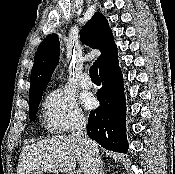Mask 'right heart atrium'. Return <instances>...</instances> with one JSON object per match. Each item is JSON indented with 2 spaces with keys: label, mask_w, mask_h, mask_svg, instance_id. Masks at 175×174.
Instances as JSON below:
<instances>
[{
  "label": "right heart atrium",
  "mask_w": 175,
  "mask_h": 174,
  "mask_svg": "<svg viewBox=\"0 0 175 174\" xmlns=\"http://www.w3.org/2000/svg\"><path fill=\"white\" fill-rule=\"evenodd\" d=\"M43 115L46 127L54 133L67 132L85 124V117L75 97L61 88L46 95Z\"/></svg>",
  "instance_id": "d8ad5b80"
}]
</instances>
